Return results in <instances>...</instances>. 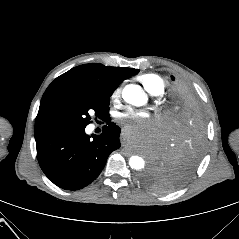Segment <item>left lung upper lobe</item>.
Returning <instances> with one entry per match:
<instances>
[{
    "mask_svg": "<svg viewBox=\"0 0 239 239\" xmlns=\"http://www.w3.org/2000/svg\"><path fill=\"white\" fill-rule=\"evenodd\" d=\"M173 81V89L171 95L170 109L167 114L169 129L175 132L178 144L184 146L185 142H189V129L187 125L181 123V112L185 105L191 103L200 104L199 97L187 82L171 76ZM188 130V131H187ZM202 147L195 155L194 159H183V155L175 152V145L163 152V161L160 167H150V169L142 176V182L149 188L157 192H169L183 184L193 173L197 163L200 160L204 144V130L202 131ZM173 144V143H171ZM175 144V143H174ZM179 148V147H178ZM179 150V149H178ZM181 150V149H180ZM192 160V161H189Z\"/></svg>",
    "mask_w": 239,
    "mask_h": 239,
    "instance_id": "5c2ea615",
    "label": "left lung upper lobe"
}]
</instances>
